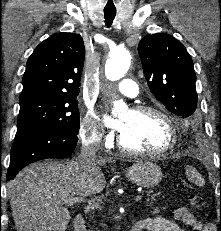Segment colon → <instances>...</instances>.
Wrapping results in <instances>:
<instances>
[{"label":"colon","mask_w":221,"mask_h":231,"mask_svg":"<svg viewBox=\"0 0 221 231\" xmlns=\"http://www.w3.org/2000/svg\"><path fill=\"white\" fill-rule=\"evenodd\" d=\"M189 202H190L191 206L194 208H201L204 205V200H203L202 196H200L198 194H191L189 196Z\"/></svg>","instance_id":"colon-1"}]
</instances>
